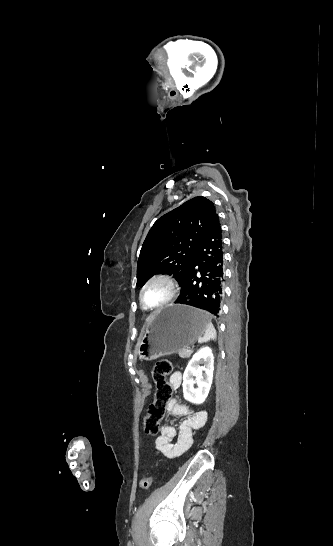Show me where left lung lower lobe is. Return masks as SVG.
<instances>
[{
	"label": "left lung lower lobe",
	"instance_id": "1",
	"mask_svg": "<svg viewBox=\"0 0 333 546\" xmlns=\"http://www.w3.org/2000/svg\"><path fill=\"white\" fill-rule=\"evenodd\" d=\"M222 248V230L217 217L197 244L194 260L180 284L181 293L175 303L220 316L224 284Z\"/></svg>",
	"mask_w": 333,
	"mask_h": 546
}]
</instances>
